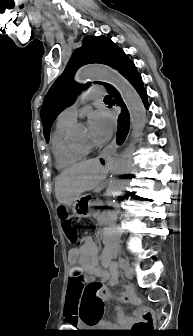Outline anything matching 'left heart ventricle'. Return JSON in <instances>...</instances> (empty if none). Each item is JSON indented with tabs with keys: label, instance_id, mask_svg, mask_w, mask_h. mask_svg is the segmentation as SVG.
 Instances as JSON below:
<instances>
[{
	"label": "left heart ventricle",
	"instance_id": "left-heart-ventricle-1",
	"mask_svg": "<svg viewBox=\"0 0 193 336\" xmlns=\"http://www.w3.org/2000/svg\"><path fill=\"white\" fill-rule=\"evenodd\" d=\"M87 140H88V135L85 134L84 137H83V139H82V142H85V141H87Z\"/></svg>",
	"mask_w": 193,
	"mask_h": 336
}]
</instances>
